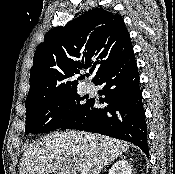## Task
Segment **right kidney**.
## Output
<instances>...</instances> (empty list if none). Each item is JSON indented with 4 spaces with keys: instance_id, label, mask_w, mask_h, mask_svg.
Segmentation results:
<instances>
[{
    "instance_id": "obj_1",
    "label": "right kidney",
    "mask_w": 175,
    "mask_h": 174,
    "mask_svg": "<svg viewBox=\"0 0 175 174\" xmlns=\"http://www.w3.org/2000/svg\"><path fill=\"white\" fill-rule=\"evenodd\" d=\"M108 174H132L131 166L125 159L115 162Z\"/></svg>"
}]
</instances>
